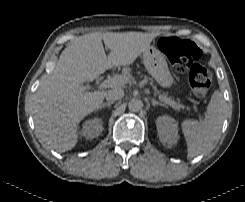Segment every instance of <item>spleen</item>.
Here are the masks:
<instances>
[{"instance_id":"3e777b00","label":"spleen","mask_w":245,"mask_h":202,"mask_svg":"<svg viewBox=\"0 0 245 202\" xmlns=\"http://www.w3.org/2000/svg\"><path fill=\"white\" fill-rule=\"evenodd\" d=\"M225 100L223 94L215 91L202 121L184 120L182 132L187 142V157L194 158L208 150L219 136L224 122Z\"/></svg>"}]
</instances>
